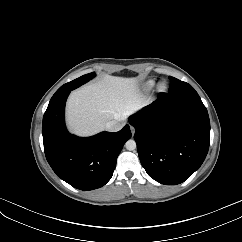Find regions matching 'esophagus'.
Returning <instances> with one entry per match:
<instances>
[{"label":"esophagus","instance_id":"esophagus-1","mask_svg":"<svg viewBox=\"0 0 242 242\" xmlns=\"http://www.w3.org/2000/svg\"><path fill=\"white\" fill-rule=\"evenodd\" d=\"M130 129H131V133H132V135H134V133H135V128L132 127V126H130Z\"/></svg>","mask_w":242,"mask_h":242}]
</instances>
